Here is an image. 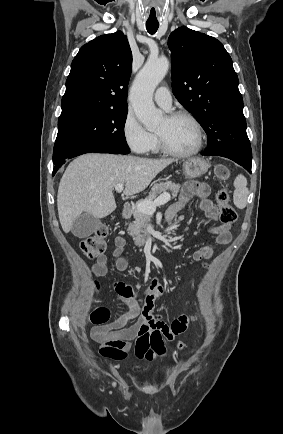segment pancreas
<instances>
[{"mask_svg": "<svg viewBox=\"0 0 283 434\" xmlns=\"http://www.w3.org/2000/svg\"><path fill=\"white\" fill-rule=\"evenodd\" d=\"M180 185L167 181L165 183L161 182L157 184L149 196L143 201H153L157 194L165 191H170L172 198H175L179 192ZM142 202V201H141ZM140 203V202H139ZM127 213L130 216L134 217V221L128 226V233L133 237L135 244L137 246H142L145 243V240L148 236L147 226L150 220V215L147 213L141 212L137 205L135 207H127Z\"/></svg>", "mask_w": 283, "mask_h": 434, "instance_id": "1", "label": "pancreas"}]
</instances>
